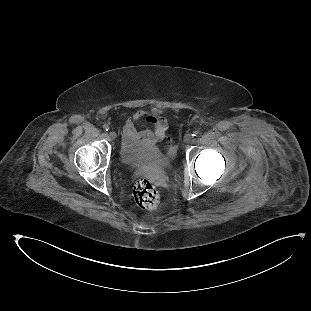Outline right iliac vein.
Returning <instances> with one entry per match:
<instances>
[{
  "label": "right iliac vein",
  "mask_w": 311,
  "mask_h": 311,
  "mask_svg": "<svg viewBox=\"0 0 311 311\" xmlns=\"http://www.w3.org/2000/svg\"><path fill=\"white\" fill-rule=\"evenodd\" d=\"M109 137H110V139L114 140V139H116L117 134L114 131H110L109 132Z\"/></svg>",
  "instance_id": "63e3f726"
}]
</instances>
